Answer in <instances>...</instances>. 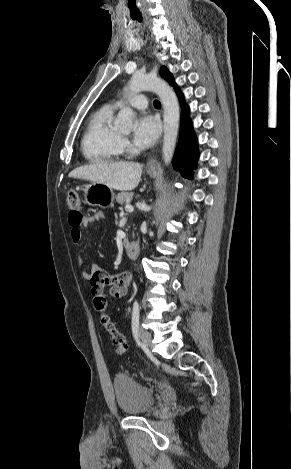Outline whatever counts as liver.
I'll use <instances>...</instances> for the list:
<instances>
[{
	"label": "liver",
	"instance_id": "6515ba94",
	"mask_svg": "<svg viewBox=\"0 0 291 469\" xmlns=\"http://www.w3.org/2000/svg\"><path fill=\"white\" fill-rule=\"evenodd\" d=\"M142 170L143 165L137 162H97L76 168L68 176L103 183L112 189L127 191L138 186Z\"/></svg>",
	"mask_w": 291,
	"mask_h": 469
}]
</instances>
